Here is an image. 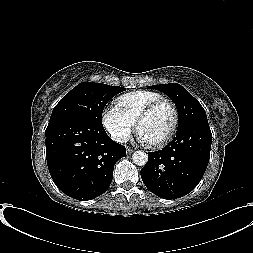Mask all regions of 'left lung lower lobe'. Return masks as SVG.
Returning a JSON list of instances; mask_svg holds the SVG:
<instances>
[{
  "instance_id": "0a47b994",
  "label": "left lung lower lobe",
  "mask_w": 253,
  "mask_h": 253,
  "mask_svg": "<svg viewBox=\"0 0 253 253\" xmlns=\"http://www.w3.org/2000/svg\"><path fill=\"white\" fill-rule=\"evenodd\" d=\"M211 143L208 121H192L178 128L165 148L148 152V162L141 169L144 184L163 199L187 195L205 173Z\"/></svg>"
}]
</instances>
